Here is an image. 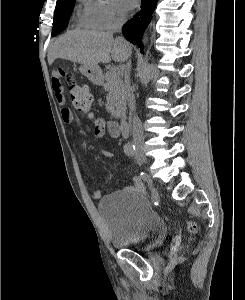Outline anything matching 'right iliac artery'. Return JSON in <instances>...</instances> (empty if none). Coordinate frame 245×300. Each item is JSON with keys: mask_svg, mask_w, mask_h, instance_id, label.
<instances>
[{"mask_svg": "<svg viewBox=\"0 0 245 300\" xmlns=\"http://www.w3.org/2000/svg\"><path fill=\"white\" fill-rule=\"evenodd\" d=\"M135 146L134 145H126L124 147V152L126 153V155L130 156V157H133L135 155ZM143 181L144 182H147L148 181V178L147 177H144L143 178Z\"/></svg>", "mask_w": 245, "mask_h": 300, "instance_id": "1", "label": "right iliac artery"}]
</instances>
